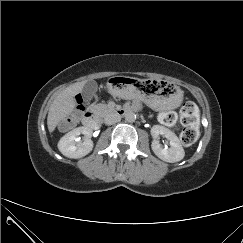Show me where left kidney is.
I'll return each mask as SVG.
<instances>
[{
  "mask_svg": "<svg viewBox=\"0 0 243 243\" xmlns=\"http://www.w3.org/2000/svg\"><path fill=\"white\" fill-rule=\"evenodd\" d=\"M151 135L153 137L151 148L158 158L169 163L178 162L184 158L185 152L180 140L170 129L161 125H154L151 129ZM159 135L169 140L170 148L161 147L158 140Z\"/></svg>",
  "mask_w": 243,
  "mask_h": 243,
  "instance_id": "5707ae66",
  "label": "left kidney"
}]
</instances>
